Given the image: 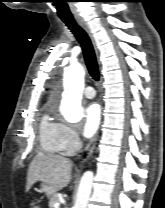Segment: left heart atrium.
Wrapping results in <instances>:
<instances>
[{"label": "left heart atrium", "instance_id": "1", "mask_svg": "<svg viewBox=\"0 0 165 208\" xmlns=\"http://www.w3.org/2000/svg\"><path fill=\"white\" fill-rule=\"evenodd\" d=\"M101 109L97 103H91L84 109L82 133L85 137H92L100 124Z\"/></svg>", "mask_w": 165, "mask_h": 208}]
</instances>
